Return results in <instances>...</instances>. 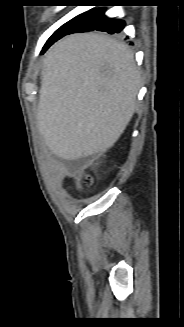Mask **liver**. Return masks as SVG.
<instances>
[{"label": "liver", "instance_id": "obj_1", "mask_svg": "<svg viewBox=\"0 0 184 327\" xmlns=\"http://www.w3.org/2000/svg\"><path fill=\"white\" fill-rule=\"evenodd\" d=\"M140 72L128 47L109 36H67L46 53L37 126L65 160L102 154L131 120Z\"/></svg>", "mask_w": 184, "mask_h": 327}]
</instances>
